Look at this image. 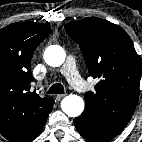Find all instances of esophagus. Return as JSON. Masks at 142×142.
<instances>
[{"label": "esophagus", "mask_w": 142, "mask_h": 142, "mask_svg": "<svg viewBox=\"0 0 142 142\" xmlns=\"http://www.w3.org/2000/svg\"><path fill=\"white\" fill-rule=\"evenodd\" d=\"M66 96V94H58L56 96V100L60 101L62 98H64Z\"/></svg>", "instance_id": "1"}]
</instances>
